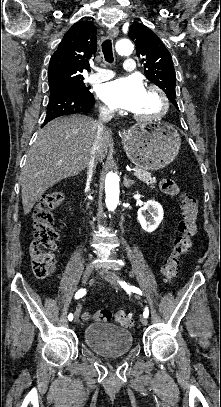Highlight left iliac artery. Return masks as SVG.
Instances as JSON below:
<instances>
[{
    "instance_id": "obj_1",
    "label": "left iliac artery",
    "mask_w": 221,
    "mask_h": 407,
    "mask_svg": "<svg viewBox=\"0 0 221 407\" xmlns=\"http://www.w3.org/2000/svg\"><path fill=\"white\" fill-rule=\"evenodd\" d=\"M120 285L122 286V288H124V289L127 290V291H132V292H135V293H137V294H141V295H142V291H141L139 288H137V287H135V286H130V285H128L125 281H120ZM148 315H149V310H148V308L146 307L145 310H144L143 316H144L145 318H147Z\"/></svg>"
}]
</instances>
